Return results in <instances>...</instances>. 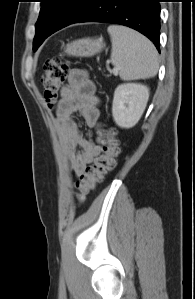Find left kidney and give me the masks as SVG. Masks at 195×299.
Returning <instances> with one entry per match:
<instances>
[{
  "instance_id": "obj_1",
  "label": "left kidney",
  "mask_w": 195,
  "mask_h": 299,
  "mask_svg": "<svg viewBox=\"0 0 195 299\" xmlns=\"http://www.w3.org/2000/svg\"><path fill=\"white\" fill-rule=\"evenodd\" d=\"M149 89L140 83H123L114 92L112 115L121 128H132L140 120L148 102Z\"/></svg>"
}]
</instances>
